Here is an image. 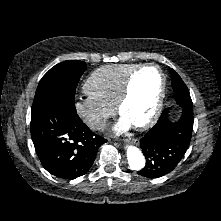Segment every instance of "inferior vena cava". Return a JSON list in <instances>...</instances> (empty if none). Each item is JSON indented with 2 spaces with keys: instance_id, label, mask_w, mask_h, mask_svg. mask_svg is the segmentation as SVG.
<instances>
[{
  "instance_id": "602c4592",
  "label": "inferior vena cava",
  "mask_w": 221,
  "mask_h": 221,
  "mask_svg": "<svg viewBox=\"0 0 221 221\" xmlns=\"http://www.w3.org/2000/svg\"><path fill=\"white\" fill-rule=\"evenodd\" d=\"M87 124L93 130L103 131L106 128V120L102 118H90Z\"/></svg>"
}]
</instances>
